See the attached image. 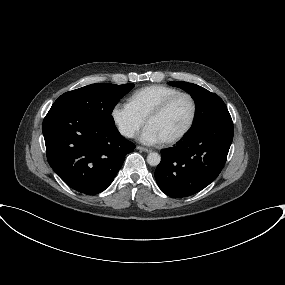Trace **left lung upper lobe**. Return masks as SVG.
Wrapping results in <instances>:
<instances>
[{
  "label": "left lung upper lobe",
  "mask_w": 285,
  "mask_h": 285,
  "mask_svg": "<svg viewBox=\"0 0 285 285\" xmlns=\"http://www.w3.org/2000/svg\"><path fill=\"white\" fill-rule=\"evenodd\" d=\"M169 84L185 90L195 101L196 112L190 131H198L211 125H233L225 103L217 94L193 83L169 82Z\"/></svg>",
  "instance_id": "1"
}]
</instances>
